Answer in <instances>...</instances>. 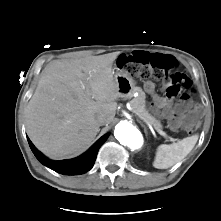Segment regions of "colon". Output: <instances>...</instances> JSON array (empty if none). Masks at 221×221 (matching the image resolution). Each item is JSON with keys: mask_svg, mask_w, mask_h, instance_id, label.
I'll use <instances>...</instances> for the list:
<instances>
[{"mask_svg": "<svg viewBox=\"0 0 221 221\" xmlns=\"http://www.w3.org/2000/svg\"><path fill=\"white\" fill-rule=\"evenodd\" d=\"M117 65L126 74L141 79H154L161 81L170 97L180 96L182 109L173 119L175 125L189 119L185 125V131L194 133L199 125L197 112H192L189 106L191 94L194 88L191 80L176 69L177 61L173 56L164 54H147L136 52L133 58L123 54L119 56Z\"/></svg>", "mask_w": 221, "mask_h": 221, "instance_id": "5ec220e1", "label": "colon"}]
</instances>
